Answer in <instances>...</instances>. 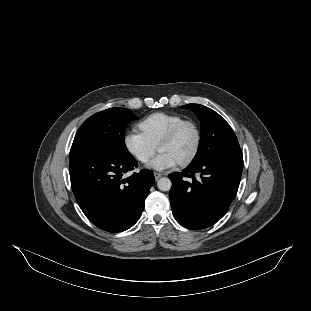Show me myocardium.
Listing matches in <instances>:
<instances>
[{
	"mask_svg": "<svg viewBox=\"0 0 311 311\" xmlns=\"http://www.w3.org/2000/svg\"><path fill=\"white\" fill-rule=\"evenodd\" d=\"M194 123L197 131H198V140H197V145L196 148L193 152V154L186 159L185 161L179 163V165L181 167H188L191 164H193L197 158L199 157L202 147H203V143H204V129L203 126L201 124V122L194 118V117H187L184 118L182 120H180L177 124H175L167 133L166 135L159 141L158 145H157V151H159V149L164 146L167 145L171 142H173L176 137L178 136V134L180 133L181 129L188 123Z\"/></svg>",
	"mask_w": 311,
	"mask_h": 311,
	"instance_id": "myocardium-1",
	"label": "myocardium"
}]
</instances>
